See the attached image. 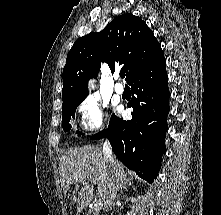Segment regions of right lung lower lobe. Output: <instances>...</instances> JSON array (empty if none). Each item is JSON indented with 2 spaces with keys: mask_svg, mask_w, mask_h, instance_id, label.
Segmentation results:
<instances>
[{
  "mask_svg": "<svg viewBox=\"0 0 221 215\" xmlns=\"http://www.w3.org/2000/svg\"><path fill=\"white\" fill-rule=\"evenodd\" d=\"M165 67L166 61L162 57L129 82L136 95L128 105L133 107L130 121L115 116L106 130L91 137L108 138L119 160L149 183L157 177L165 152L169 111Z\"/></svg>",
  "mask_w": 221,
  "mask_h": 215,
  "instance_id": "right-lung-lower-lobe-1",
  "label": "right lung lower lobe"
}]
</instances>
